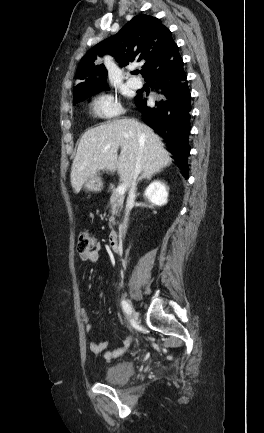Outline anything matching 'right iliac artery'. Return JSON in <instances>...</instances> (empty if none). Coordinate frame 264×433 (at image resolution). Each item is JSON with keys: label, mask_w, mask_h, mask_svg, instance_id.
Listing matches in <instances>:
<instances>
[{"label": "right iliac artery", "mask_w": 264, "mask_h": 433, "mask_svg": "<svg viewBox=\"0 0 264 433\" xmlns=\"http://www.w3.org/2000/svg\"><path fill=\"white\" fill-rule=\"evenodd\" d=\"M121 305H122V308H123L124 312L127 313L128 315H130L131 314V310H130L129 304L125 300H122L121 301Z\"/></svg>", "instance_id": "82829eb1"}]
</instances>
